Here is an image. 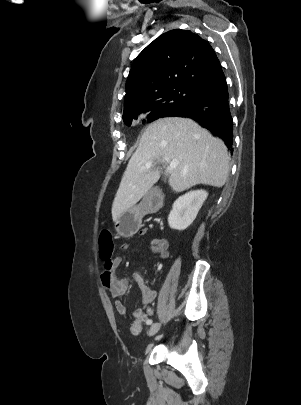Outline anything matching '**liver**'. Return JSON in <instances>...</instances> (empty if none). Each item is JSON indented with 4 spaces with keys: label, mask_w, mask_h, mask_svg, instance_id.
<instances>
[{
    "label": "liver",
    "mask_w": 301,
    "mask_h": 405,
    "mask_svg": "<svg viewBox=\"0 0 301 405\" xmlns=\"http://www.w3.org/2000/svg\"><path fill=\"white\" fill-rule=\"evenodd\" d=\"M178 160L169 185L182 192L197 184L222 187L229 173V157L222 140L188 118L167 117L151 123L130 158L112 204V219L135 204L159 180L160 168L146 169V163Z\"/></svg>",
    "instance_id": "6515ba94"
}]
</instances>
